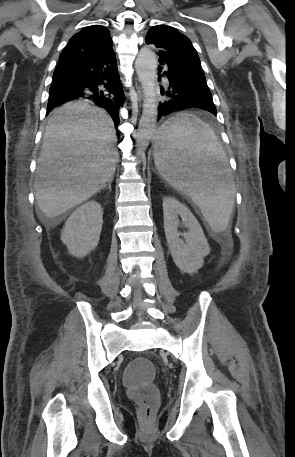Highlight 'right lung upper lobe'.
Here are the masks:
<instances>
[{
  "label": "right lung upper lobe",
  "mask_w": 295,
  "mask_h": 457,
  "mask_svg": "<svg viewBox=\"0 0 295 457\" xmlns=\"http://www.w3.org/2000/svg\"><path fill=\"white\" fill-rule=\"evenodd\" d=\"M112 45V39L107 28L99 25L89 26L69 40L60 54L59 63L97 58L110 51Z\"/></svg>",
  "instance_id": "1"
}]
</instances>
